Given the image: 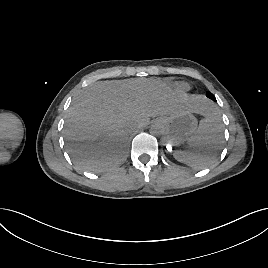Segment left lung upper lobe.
<instances>
[{
  "instance_id": "5c2ea615",
  "label": "left lung upper lobe",
  "mask_w": 268,
  "mask_h": 268,
  "mask_svg": "<svg viewBox=\"0 0 268 268\" xmlns=\"http://www.w3.org/2000/svg\"><path fill=\"white\" fill-rule=\"evenodd\" d=\"M206 96L208 98L212 99L213 101H214V99H216L215 96L212 93H210V92H207Z\"/></svg>"
}]
</instances>
